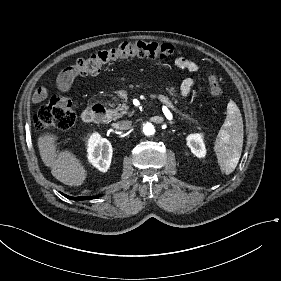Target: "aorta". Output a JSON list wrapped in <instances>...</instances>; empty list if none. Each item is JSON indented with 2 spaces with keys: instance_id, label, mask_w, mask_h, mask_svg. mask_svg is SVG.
Returning <instances> with one entry per match:
<instances>
[{
  "instance_id": "aorta-1",
  "label": "aorta",
  "mask_w": 281,
  "mask_h": 281,
  "mask_svg": "<svg viewBox=\"0 0 281 281\" xmlns=\"http://www.w3.org/2000/svg\"><path fill=\"white\" fill-rule=\"evenodd\" d=\"M143 132L147 136L153 135L155 132L154 126L151 123L144 124Z\"/></svg>"
}]
</instances>
